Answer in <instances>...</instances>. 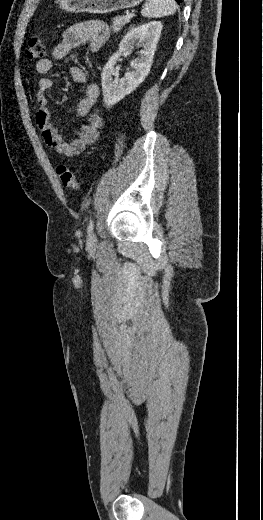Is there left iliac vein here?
Returning a JSON list of instances; mask_svg holds the SVG:
<instances>
[{"label":"left iliac vein","mask_w":263,"mask_h":520,"mask_svg":"<svg viewBox=\"0 0 263 520\" xmlns=\"http://www.w3.org/2000/svg\"><path fill=\"white\" fill-rule=\"evenodd\" d=\"M96 243V236L95 234L92 232L88 235V238H87V245L88 246H93L95 245Z\"/></svg>","instance_id":"1"}]
</instances>
